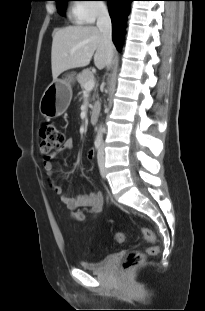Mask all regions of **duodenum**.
I'll return each mask as SVG.
<instances>
[{"label":"duodenum","mask_w":205,"mask_h":311,"mask_svg":"<svg viewBox=\"0 0 205 311\" xmlns=\"http://www.w3.org/2000/svg\"><path fill=\"white\" fill-rule=\"evenodd\" d=\"M99 111H100V106L97 103H94L91 108H90V112H89V117H90V121L92 123H96L98 120V115H99Z\"/></svg>","instance_id":"410a0bca"}]
</instances>
